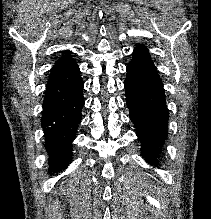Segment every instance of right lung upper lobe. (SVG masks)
I'll use <instances>...</instances> for the list:
<instances>
[{"label":"right lung upper lobe","instance_id":"right-lung-upper-lobe-1","mask_svg":"<svg viewBox=\"0 0 211 219\" xmlns=\"http://www.w3.org/2000/svg\"><path fill=\"white\" fill-rule=\"evenodd\" d=\"M64 53L65 54H67V53L70 54L71 52L70 51H64ZM70 60H73V59L71 57H69L68 55L62 56L61 58H59L58 61L55 62V65H54L52 71L54 69H56L57 67L61 66L62 64L67 63Z\"/></svg>","mask_w":211,"mask_h":219}]
</instances>
